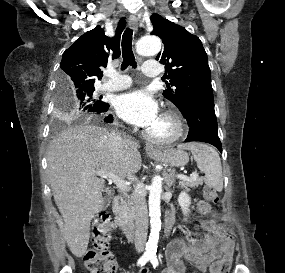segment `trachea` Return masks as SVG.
Segmentation results:
<instances>
[{
  "label": "trachea",
  "mask_w": 285,
  "mask_h": 273,
  "mask_svg": "<svg viewBox=\"0 0 285 273\" xmlns=\"http://www.w3.org/2000/svg\"><path fill=\"white\" fill-rule=\"evenodd\" d=\"M132 37L133 30L127 28L122 36V70H125L128 66H132L133 68L137 67V63L135 61V57L132 51Z\"/></svg>",
  "instance_id": "trachea-1"
}]
</instances>
